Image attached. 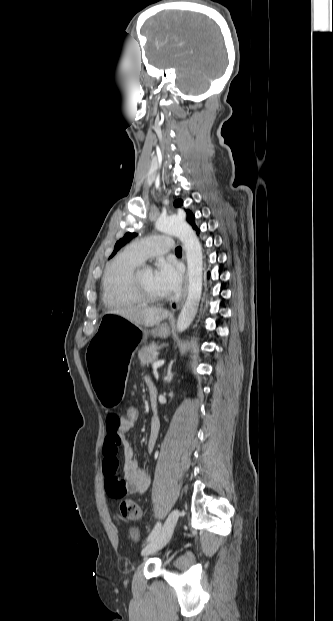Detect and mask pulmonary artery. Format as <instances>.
<instances>
[{"mask_svg": "<svg viewBox=\"0 0 333 621\" xmlns=\"http://www.w3.org/2000/svg\"><path fill=\"white\" fill-rule=\"evenodd\" d=\"M172 249V239L169 236L157 235L133 242L127 252L142 263L148 258L160 256Z\"/></svg>", "mask_w": 333, "mask_h": 621, "instance_id": "pulmonary-artery-1", "label": "pulmonary artery"}]
</instances>
